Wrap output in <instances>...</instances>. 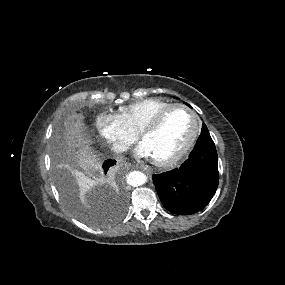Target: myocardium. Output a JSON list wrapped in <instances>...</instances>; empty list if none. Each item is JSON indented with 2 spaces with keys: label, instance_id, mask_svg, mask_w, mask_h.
<instances>
[{
  "label": "myocardium",
  "instance_id": "1",
  "mask_svg": "<svg viewBox=\"0 0 285 285\" xmlns=\"http://www.w3.org/2000/svg\"><path fill=\"white\" fill-rule=\"evenodd\" d=\"M177 109H182L189 114L194 124L193 132L188 142L177 154H175L169 159L154 160V163L159 167H173L180 163L182 160H184L196 145L201 133V122L195 111L185 104L174 103L163 111H161L158 115L149 120L147 123H145L139 131V138L143 139L145 132H150L158 129L166 120V118Z\"/></svg>",
  "mask_w": 285,
  "mask_h": 285
}]
</instances>
